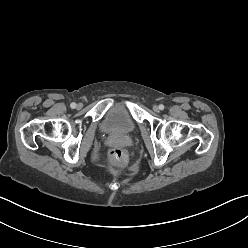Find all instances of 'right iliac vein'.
<instances>
[{"mask_svg":"<svg viewBox=\"0 0 248 248\" xmlns=\"http://www.w3.org/2000/svg\"><path fill=\"white\" fill-rule=\"evenodd\" d=\"M81 107H82V104L79 103V104L77 105V108L80 109Z\"/></svg>","mask_w":248,"mask_h":248,"instance_id":"obj_1","label":"right iliac vein"}]
</instances>
